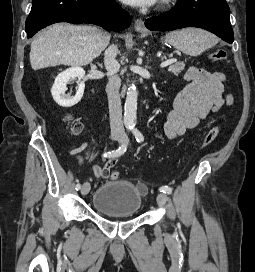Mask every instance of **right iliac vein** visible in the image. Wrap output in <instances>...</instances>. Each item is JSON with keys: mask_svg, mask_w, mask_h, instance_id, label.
Masks as SVG:
<instances>
[{"mask_svg": "<svg viewBox=\"0 0 255 272\" xmlns=\"http://www.w3.org/2000/svg\"><path fill=\"white\" fill-rule=\"evenodd\" d=\"M112 139L117 140L119 142L122 141V138L120 136H117V135H112ZM89 191H90V183L85 182L81 187V194L82 195H87L89 193Z\"/></svg>", "mask_w": 255, "mask_h": 272, "instance_id": "63e3f726", "label": "right iliac vein"}]
</instances>
